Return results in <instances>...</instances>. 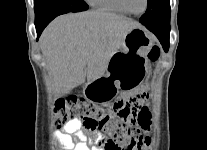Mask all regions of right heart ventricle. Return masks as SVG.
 <instances>
[{"label": "right heart ventricle", "instance_id": "1", "mask_svg": "<svg viewBox=\"0 0 207 150\" xmlns=\"http://www.w3.org/2000/svg\"><path fill=\"white\" fill-rule=\"evenodd\" d=\"M90 4L100 10L128 15L129 12L125 9L120 0H89Z\"/></svg>", "mask_w": 207, "mask_h": 150}]
</instances>
